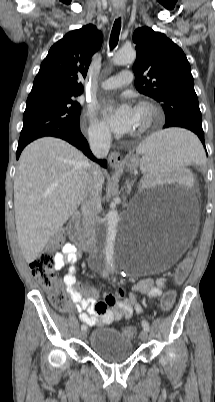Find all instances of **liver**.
<instances>
[{"label":"liver","mask_w":215,"mask_h":402,"mask_svg":"<svg viewBox=\"0 0 215 402\" xmlns=\"http://www.w3.org/2000/svg\"><path fill=\"white\" fill-rule=\"evenodd\" d=\"M91 163L69 143L44 137L22 151L14 179L18 242L27 263L82 203ZM101 184L104 175L100 173Z\"/></svg>","instance_id":"1"}]
</instances>
